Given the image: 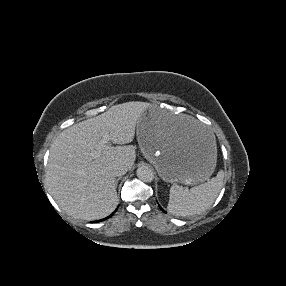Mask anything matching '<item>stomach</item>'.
<instances>
[{
  "label": "stomach",
  "mask_w": 286,
  "mask_h": 286,
  "mask_svg": "<svg viewBox=\"0 0 286 286\" xmlns=\"http://www.w3.org/2000/svg\"><path fill=\"white\" fill-rule=\"evenodd\" d=\"M137 139L145 158L166 182L197 185L215 170L216 135L193 116L150 107L138 120Z\"/></svg>",
  "instance_id": "0dacf381"
}]
</instances>
